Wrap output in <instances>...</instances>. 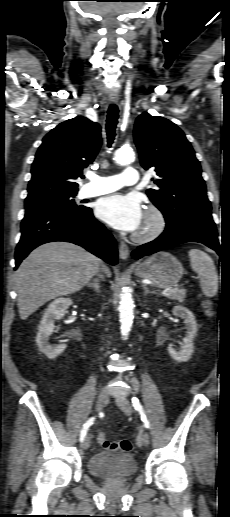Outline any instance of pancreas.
<instances>
[{
	"label": "pancreas",
	"instance_id": "cf45deb5",
	"mask_svg": "<svg viewBox=\"0 0 230 517\" xmlns=\"http://www.w3.org/2000/svg\"><path fill=\"white\" fill-rule=\"evenodd\" d=\"M185 298H186V290L185 289H180V290L176 291L175 293H173L170 296V299L176 300V301H179V302H184Z\"/></svg>",
	"mask_w": 230,
	"mask_h": 517
}]
</instances>
